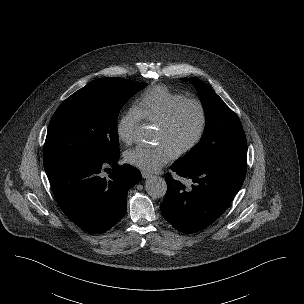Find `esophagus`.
I'll list each match as a JSON object with an SVG mask.
<instances>
[{"label": "esophagus", "instance_id": "obj_1", "mask_svg": "<svg viewBox=\"0 0 304 304\" xmlns=\"http://www.w3.org/2000/svg\"><path fill=\"white\" fill-rule=\"evenodd\" d=\"M141 174H142V177H143L144 179H147V178L152 177V174H150V173H148V172H145V171H143Z\"/></svg>", "mask_w": 304, "mask_h": 304}]
</instances>
